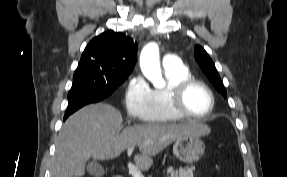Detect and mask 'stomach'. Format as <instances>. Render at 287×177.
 <instances>
[{"label": "stomach", "mask_w": 287, "mask_h": 177, "mask_svg": "<svg viewBox=\"0 0 287 177\" xmlns=\"http://www.w3.org/2000/svg\"><path fill=\"white\" fill-rule=\"evenodd\" d=\"M205 145L199 135H185L177 140L173 145L174 155L182 162H197L204 154Z\"/></svg>", "instance_id": "1"}]
</instances>
